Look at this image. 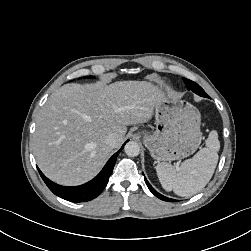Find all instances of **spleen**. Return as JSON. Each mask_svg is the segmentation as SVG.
<instances>
[{
	"mask_svg": "<svg viewBox=\"0 0 251 251\" xmlns=\"http://www.w3.org/2000/svg\"><path fill=\"white\" fill-rule=\"evenodd\" d=\"M220 142L215 130L209 133L206 147L191 159L185 160L179 168L169 163L156 166L157 176L166 191H174L178 196L190 197L202 190L210 181L217 162Z\"/></svg>",
	"mask_w": 251,
	"mask_h": 251,
	"instance_id": "3e777b00",
	"label": "spleen"
}]
</instances>
